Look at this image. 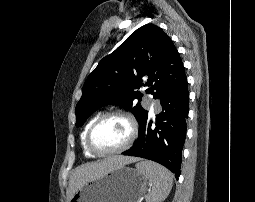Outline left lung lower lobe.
Returning a JSON list of instances; mask_svg holds the SVG:
<instances>
[{
  "instance_id": "0a47b994",
  "label": "left lung lower lobe",
  "mask_w": 255,
  "mask_h": 202,
  "mask_svg": "<svg viewBox=\"0 0 255 202\" xmlns=\"http://www.w3.org/2000/svg\"><path fill=\"white\" fill-rule=\"evenodd\" d=\"M159 100L162 112L156 115V127H151L153 121L147 116L140 127L137 141L122 154L158 162L173 172L178 179L189 112L186 75Z\"/></svg>"
}]
</instances>
